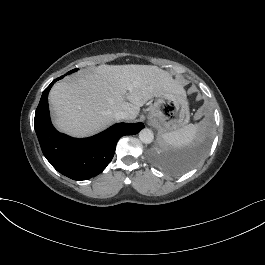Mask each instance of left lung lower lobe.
Wrapping results in <instances>:
<instances>
[{"label":"left lung lower lobe","instance_id":"obj_1","mask_svg":"<svg viewBox=\"0 0 265 265\" xmlns=\"http://www.w3.org/2000/svg\"><path fill=\"white\" fill-rule=\"evenodd\" d=\"M208 139L202 136L197 142L181 149L153 150L150 159L161 170L175 175L193 168L204 156Z\"/></svg>","mask_w":265,"mask_h":265}]
</instances>
